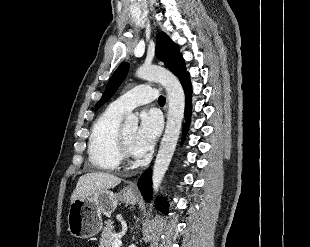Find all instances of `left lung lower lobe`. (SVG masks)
<instances>
[{
	"mask_svg": "<svg viewBox=\"0 0 310 247\" xmlns=\"http://www.w3.org/2000/svg\"><path fill=\"white\" fill-rule=\"evenodd\" d=\"M180 81L183 85L185 95H186V100H187V106L185 110V116L187 120L186 126L183 128V134H186L187 126L189 125V119H190V114H191V105H190V98H191V83H190V77L189 73H185L183 76H181ZM138 188L140 189L143 197L145 198L146 201H149L151 198L152 194V187H151V170L145 171L142 176L139 179L138 182ZM157 208L164 212L165 214L167 213V204L165 201H160L157 204Z\"/></svg>",
	"mask_w": 310,
	"mask_h": 247,
	"instance_id": "1",
	"label": "left lung lower lobe"
}]
</instances>
